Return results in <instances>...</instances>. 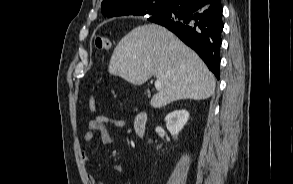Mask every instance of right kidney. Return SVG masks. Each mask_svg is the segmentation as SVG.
<instances>
[{"instance_id":"ca27d5eb","label":"right kidney","mask_w":293,"mask_h":184,"mask_svg":"<svg viewBox=\"0 0 293 184\" xmlns=\"http://www.w3.org/2000/svg\"><path fill=\"white\" fill-rule=\"evenodd\" d=\"M189 119V112L182 110H175L165 117L166 127L174 139L178 138L179 132L183 129Z\"/></svg>"}]
</instances>
